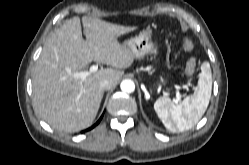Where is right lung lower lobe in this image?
<instances>
[{
    "label": "right lung lower lobe",
    "instance_id": "98d812e1",
    "mask_svg": "<svg viewBox=\"0 0 249 165\" xmlns=\"http://www.w3.org/2000/svg\"><path fill=\"white\" fill-rule=\"evenodd\" d=\"M101 119H102V117L98 120V122H97L95 125H93V126H92L91 128H89L88 130L94 128V127L100 122Z\"/></svg>",
    "mask_w": 249,
    "mask_h": 165
}]
</instances>
